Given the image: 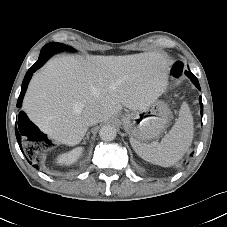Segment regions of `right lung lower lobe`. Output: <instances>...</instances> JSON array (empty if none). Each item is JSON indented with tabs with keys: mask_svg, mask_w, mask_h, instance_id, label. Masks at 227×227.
Here are the masks:
<instances>
[{
	"mask_svg": "<svg viewBox=\"0 0 227 227\" xmlns=\"http://www.w3.org/2000/svg\"><path fill=\"white\" fill-rule=\"evenodd\" d=\"M55 51L47 49L46 47H43L39 56L38 61L28 70V72L25 75V78L23 80L22 83V88H21V93L19 95L18 98V102H17V107L20 108L22 105V100L24 97V94L26 92L27 86L29 84V81L32 77V74L39 69L40 67L43 66V64L51 57V55L54 53ZM30 127H34L36 129H38L26 116V114L21 111L19 113L18 116V128H15V132H16V138L18 140V144L20 146V149L22 150L21 147V134L25 133V134H29V128ZM39 130V129H38ZM30 163V162H29Z\"/></svg>",
	"mask_w": 227,
	"mask_h": 227,
	"instance_id": "right-lung-lower-lobe-1",
	"label": "right lung lower lobe"
}]
</instances>
